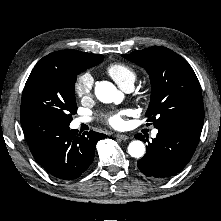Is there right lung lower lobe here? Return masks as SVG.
<instances>
[{"instance_id":"right-lung-lower-lobe-1","label":"right lung lower lobe","mask_w":221,"mask_h":221,"mask_svg":"<svg viewBox=\"0 0 221 221\" xmlns=\"http://www.w3.org/2000/svg\"><path fill=\"white\" fill-rule=\"evenodd\" d=\"M21 126L36 161L63 180L78 178L91 165L97 142L106 137L94 131L81 135L67 123L42 116L21 117Z\"/></svg>"}]
</instances>
